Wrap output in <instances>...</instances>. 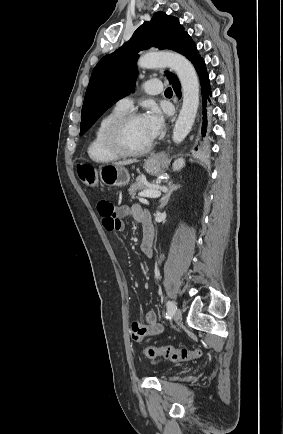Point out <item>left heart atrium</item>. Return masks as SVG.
I'll list each match as a JSON object with an SVG mask.
<instances>
[{
  "mask_svg": "<svg viewBox=\"0 0 283 434\" xmlns=\"http://www.w3.org/2000/svg\"><path fill=\"white\" fill-rule=\"evenodd\" d=\"M142 121L146 134L151 141L161 133L164 126L163 116L157 107L150 108L142 116Z\"/></svg>",
  "mask_w": 283,
  "mask_h": 434,
  "instance_id": "obj_1",
  "label": "left heart atrium"
}]
</instances>
